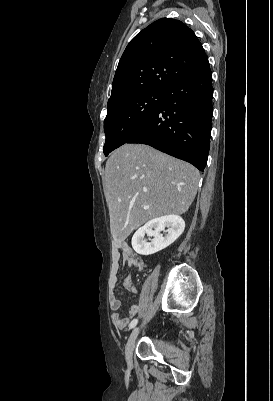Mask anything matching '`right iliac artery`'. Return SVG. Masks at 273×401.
<instances>
[{
  "instance_id": "82829eb1",
  "label": "right iliac artery",
  "mask_w": 273,
  "mask_h": 401,
  "mask_svg": "<svg viewBox=\"0 0 273 401\" xmlns=\"http://www.w3.org/2000/svg\"><path fill=\"white\" fill-rule=\"evenodd\" d=\"M137 322H138L137 319H133V320L131 321V323L129 324V328H130V329L134 328V327L136 326Z\"/></svg>"
}]
</instances>
